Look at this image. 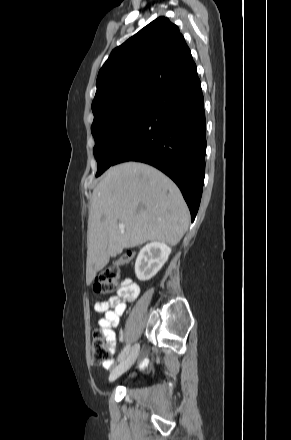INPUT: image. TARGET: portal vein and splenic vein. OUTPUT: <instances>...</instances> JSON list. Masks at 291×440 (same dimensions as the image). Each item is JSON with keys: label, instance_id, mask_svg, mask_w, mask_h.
<instances>
[{"label": "portal vein and splenic vein", "instance_id": "portal-vein-and-splenic-vein-1", "mask_svg": "<svg viewBox=\"0 0 291 440\" xmlns=\"http://www.w3.org/2000/svg\"><path fill=\"white\" fill-rule=\"evenodd\" d=\"M118 227H119V229H124V224H123V223H120V224L118 225Z\"/></svg>", "mask_w": 291, "mask_h": 440}]
</instances>
